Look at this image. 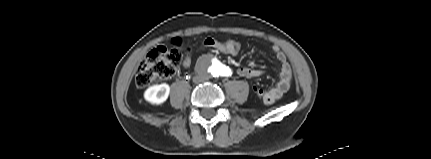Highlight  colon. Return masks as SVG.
<instances>
[{"label": "colon", "instance_id": "1", "mask_svg": "<svg viewBox=\"0 0 431 159\" xmlns=\"http://www.w3.org/2000/svg\"><path fill=\"white\" fill-rule=\"evenodd\" d=\"M214 49H217L213 46ZM219 55L235 57L238 54L236 49H217ZM183 56L178 49H168L158 46L152 49L139 64L135 74V84L138 88H146L156 80L168 79L177 72ZM253 93L261 98L265 91L260 87H254Z\"/></svg>", "mask_w": 431, "mask_h": 159}]
</instances>
